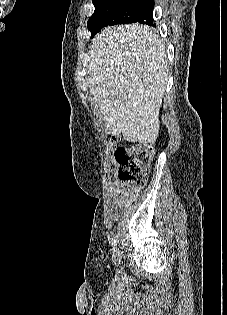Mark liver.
<instances>
[{
  "label": "liver",
  "instance_id": "6515ba94",
  "mask_svg": "<svg viewBox=\"0 0 227 315\" xmlns=\"http://www.w3.org/2000/svg\"><path fill=\"white\" fill-rule=\"evenodd\" d=\"M89 49V91L108 133L154 144L168 79L165 46L156 31L137 23L107 27Z\"/></svg>",
  "mask_w": 227,
  "mask_h": 315
}]
</instances>
